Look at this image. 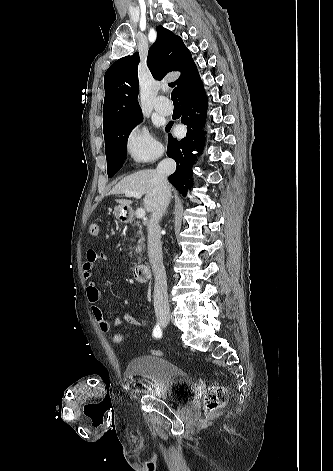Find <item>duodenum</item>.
Returning a JSON list of instances; mask_svg holds the SVG:
<instances>
[{"instance_id":"obj_1","label":"duodenum","mask_w":333,"mask_h":471,"mask_svg":"<svg viewBox=\"0 0 333 471\" xmlns=\"http://www.w3.org/2000/svg\"><path fill=\"white\" fill-rule=\"evenodd\" d=\"M125 220L126 221L130 220V214L129 213L126 214ZM133 276H134L135 280L140 282V283L147 282L149 277H150L149 266L147 264H144V263L136 265L133 269Z\"/></svg>"}]
</instances>
